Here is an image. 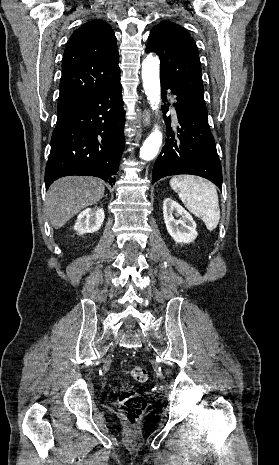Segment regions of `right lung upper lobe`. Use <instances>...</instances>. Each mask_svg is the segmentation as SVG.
<instances>
[{"label":"right lung upper lobe","mask_w":279,"mask_h":465,"mask_svg":"<svg viewBox=\"0 0 279 465\" xmlns=\"http://www.w3.org/2000/svg\"><path fill=\"white\" fill-rule=\"evenodd\" d=\"M116 37L110 25L92 20L67 42L57 105V122L74 112L120 78Z\"/></svg>","instance_id":"1"}]
</instances>
